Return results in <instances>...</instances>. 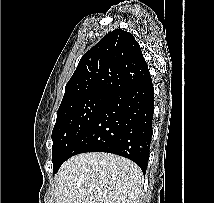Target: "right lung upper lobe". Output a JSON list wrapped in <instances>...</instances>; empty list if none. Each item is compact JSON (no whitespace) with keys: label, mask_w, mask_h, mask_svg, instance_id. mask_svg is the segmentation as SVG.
I'll use <instances>...</instances> for the list:
<instances>
[{"label":"right lung upper lobe","mask_w":214,"mask_h":203,"mask_svg":"<svg viewBox=\"0 0 214 203\" xmlns=\"http://www.w3.org/2000/svg\"><path fill=\"white\" fill-rule=\"evenodd\" d=\"M148 75L147 63L134 36L114 30L82 56L66 84L61 105L92 93L112 95Z\"/></svg>","instance_id":"right-lung-upper-lobe-1"}]
</instances>
